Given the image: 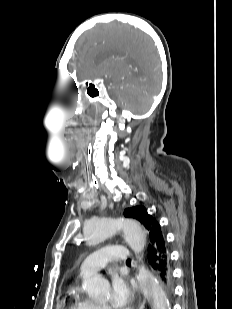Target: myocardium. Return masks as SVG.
<instances>
[{
    "label": "myocardium",
    "mask_w": 232,
    "mask_h": 309,
    "mask_svg": "<svg viewBox=\"0 0 232 309\" xmlns=\"http://www.w3.org/2000/svg\"><path fill=\"white\" fill-rule=\"evenodd\" d=\"M101 306V305H100ZM102 308H105V309H108V307L107 306H105V305H102L101 306Z\"/></svg>",
    "instance_id": "f54148a6"
}]
</instances>
